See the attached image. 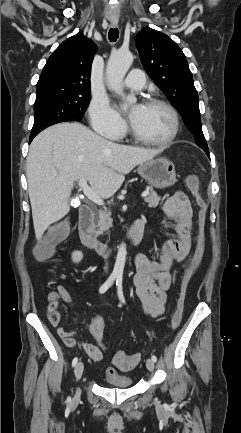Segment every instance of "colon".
<instances>
[{"label":"colon","mask_w":241,"mask_h":433,"mask_svg":"<svg viewBox=\"0 0 241 433\" xmlns=\"http://www.w3.org/2000/svg\"><path fill=\"white\" fill-rule=\"evenodd\" d=\"M189 181H190V185H191V187L195 193L196 202H197L198 206L200 207V211L198 213L200 236H199V242H198V247L196 249V252L193 255V257L191 258L188 265L186 266L184 273H183V276H182L177 307H176V310H175V312L172 316V320H171L172 328L178 327L181 320H182L188 286H189L190 281L193 278L194 274L196 273V271L199 269V267L201 265V262H202V259L204 256V252H205V246H206L205 235H204L205 220H206L204 210H205L206 204H205L204 199L200 195L199 182H198L197 178L195 176H191ZM61 237H62V235L59 233L58 230L52 231L51 234L48 235L38 245V247L36 249L37 257L40 259L46 258L51 253V251L54 249V247L59 243ZM101 348H102V351L105 350V346L103 344H102ZM141 358H142V355L140 353L128 355L122 351H118L113 358V363L118 369H120L122 371H129V370H132L133 368H135L139 364V362L141 361ZM111 373H115V371L111 372Z\"/></svg>","instance_id":"1"}]
</instances>
